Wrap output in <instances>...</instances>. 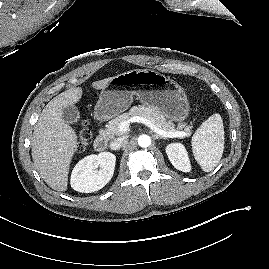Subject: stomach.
I'll use <instances>...</instances> for the list:
<instances>
[{
	"label": "stomach",
	"instance_id": "0dacf381",
	"mask_svg": "<svg viewBox=\"0 0 269 269\" xmlns=\"http://www.w3.org/2000/svg\"><path fill=\"white\" fill-rule=\"evenodd\" d=\"M134 95L170 121L181 123L189 116V100L181 86L159 72L135 69L113 77L102 89L95 106L96 119L106 121L121 114Z\"/></svg>",
	"mask_w": 269,
	"mask_h": 269
}]
</instances>
